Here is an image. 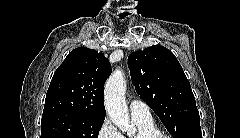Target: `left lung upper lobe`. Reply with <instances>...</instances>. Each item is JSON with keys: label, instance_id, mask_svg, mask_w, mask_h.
<instances>
[{"label": "left lung upper lobe", "instance_id": "5c2ea615", "mask_svg": "<svg viewBox=\"0 0 240 138\" xmlns=\"http://www.w3.org/2000/svg\"><path fill=\"white\" fill-rule=\"evenodd\" d=\"M128 67L137 94L174 138H202L191 85L170 50L153 45L133 52Z\"/></svg>", "mask_w": 240, "mask_h": 138}]
</instances>
